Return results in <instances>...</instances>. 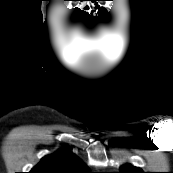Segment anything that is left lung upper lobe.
<instances>
[{
	"mask_svg": "<svg viewBox=\"0 0 173 173\" xmlns=\"http://www.w3.org/2000/svg\"><path fill=\"white\" fill-rule=\"evenodd\" d=\"M119 173H144L140 168L126 164L120 168Z\"/></svg>",
	"mask_w": 173,
	"mask_h": 173,
	"instance_id": "5c2ea615",
	"label": "left lung upper lobe"
}]
</instances>
